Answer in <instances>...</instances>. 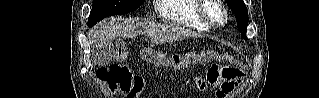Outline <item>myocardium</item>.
<instances>
[{
	"label": "myocardium",
	"mask_w": 319,
	"mask_h": 98,
	"mask_svg": "<svg viewBox=\"0 0 319 98\" xmlns=\"http://www.w3.org/2000/svg\"><path fill=\"white\" fill-rule=\"evenodd\" d=\"M212 4L217 6L221 10V12L223 14V18H222L221 22H215L214 20L211 19L210 15L208 14V12H207L208 8ZM198 14H199L201 20L210 28L222 27L227 22V10H226L223 2L220 0H201L199 2Z\"/></svg>",
	"instance_id": "1"
}]
</instances>
